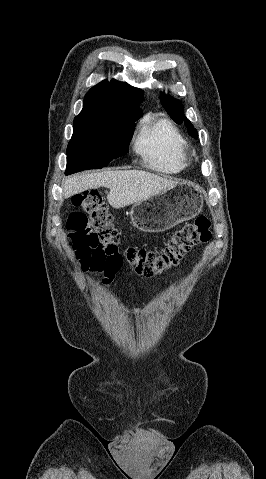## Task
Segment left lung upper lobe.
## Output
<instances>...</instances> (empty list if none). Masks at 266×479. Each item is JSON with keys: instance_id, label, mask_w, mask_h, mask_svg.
Here are the masks:
<instances>
[{"instance_id": "left-lung-upper-lobe-1", "label": "left lung upper lobe", "mask_w": 266, "mask_h": 479, "mask_svg": "<svg viewBox=\"0 0 266 479\" xmlns=\"http://www.w3.org/2000/svg\"><path fill=\"white\" fill-rule=\"evenodd\" d=\"M161 101L168 112V114L171 116V118L177 123L181 124L183 120H185V124L189 130V133L192 137L196 138L197 137V132L196 130L193 129L192 124L188 121V119L185 118L183 114V106L182 104L169 96H166L164 94H161Z\"/></svg>"}]
</instances>
